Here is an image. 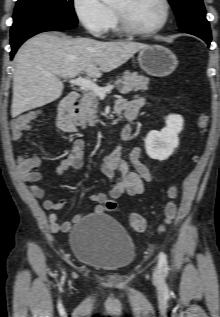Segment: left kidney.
Segmentation results:
<instances>
[{
  "label": "left kidney",
  "instance_id": "5707ae66",
  "mask_svg": "<svg viewBox=\"0 0 220 317\" xmlns=\"http://www.w3.org/2000/svg\"><path fill=\"white\" fill-rule=\"evenodd\" d=\"M166 127L161 131H150L145 139V149L148 156L156 160L167 159L178 146V132L183 120L179 116L166 118Z\"/></svg>",
  "mask_w": 220,
  "mask_h": 317
}]
</instances>
